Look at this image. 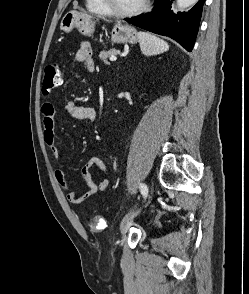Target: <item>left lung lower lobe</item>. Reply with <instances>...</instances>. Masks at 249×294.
I'll use <instances>...</instances> for the list:
<instances>
[{
  "mask_svg": "<svg viewBox=\"0 0 249 294\" xmlns=\"http://www.w3.org/2000/svg\"><path fill=\"white\" fill-rule=\"evenodd\" d=\"M171 1L155 0L151 12L125 20L156 34L168 36L180 43L187 51H192L205 0H199L188 13L178 14H173L170 10Z\"/></svg>",
  "mask_w": 249,
  "mask_h": 294,
  "instance_id": "0a47b994",
  "label": "left lung lower lobe"
}]
</instances>
